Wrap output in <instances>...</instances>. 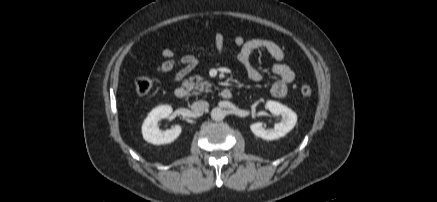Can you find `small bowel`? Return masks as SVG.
<instances>
[{"instance_id": "c3829d8e", "label": "small bowel", "mask_w": 437, "mask_h": 202, "mask_svg": "<svg viewBox=\"0 0 437 202\" xmlns=\"http://www.w3.org/2000/svg\"><path fill=\"white\" fill-rule=\"evenodd\" d=\"M232 44L239 49L235 59L244 67L248 78L252 81L259 82L263 79V74L251 63V57L255 51L264 50L278 61L271 68L272 74L276 77L271 86V93L277 98H282L287 94L288 85L295 80V72L290 65L282 62L285 58V52L277 43L261 38L245 40L242 36H237L233 39ZM225 46L226 41L223 34L217 32L214 36V54L220 56L224 52ZM161 55L164 60L156 66V71L169 73L178 68L172 75V80L176 83L182 81L198 64V58L195 55L178 56L177 51L170 48H164Z\"/></svg>"}]
</instances>
